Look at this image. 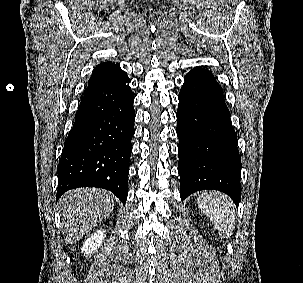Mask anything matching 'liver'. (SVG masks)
Returning <instances> with one entry per match:
<instances>
[{
    "label": "liver",
    "instance_id": "obj_1",
    "mask_svg": "<svg viewBox=\"0 0 303 283\" xmlns=\"http://www.w3.org/2000/svg\"><path fill=\"white\" fill-rule=\"evenodd\" d=\"M60 214L65 241L75 244L113 210V195L97 188H79L60 199Z\"/></svg>",
    "mask_w": 303,
    "mask_h": 283
}]
</instances>
